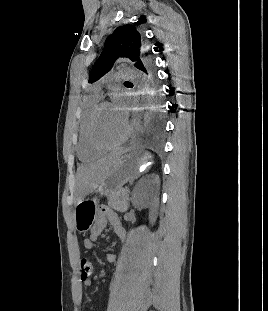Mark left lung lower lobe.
<instances>
[{
	"instance_id": "0a47b994",
	"label": "left lung lower lobe",
	"mask_w": 268,
	"mask_h": 311,
	"mask_svg": "<svg viewBox=\"0 0 268 311\" xmlns=\"http://www.w3.org/2000/svg\"><path fill=\"white\" fill-rule=\"evenodd\" d=\"M137 69L140 70L143 84L151 95V106L145 115L141 132V141H164L166 132H161L163 128L164 110L159 97V84L155 69L154 60L144 55Z\"/></svg>"
}]
</instances>
